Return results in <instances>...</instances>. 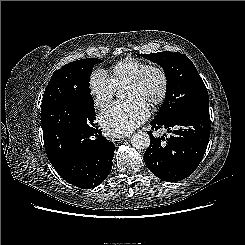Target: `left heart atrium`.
Listing matches in <instances>:
<instances>
[{
	"label": "left heart atrium",
	"mask_w": 245,
	"mask_h": 245,
	"mask_svg": "<svg viewBox=\"0 0 245 245\" xmlns=\"http://www.w3.org/2000/svg\"><path fill=\"white\" fill-rule=\"evenodd\" d=\"M148 116V104L138 97H132L105 109L99 116V122L107 134L119 136L137 128Z\"/></svg>",
	"instance_id": "39dd6f15"
}]
</instances>
